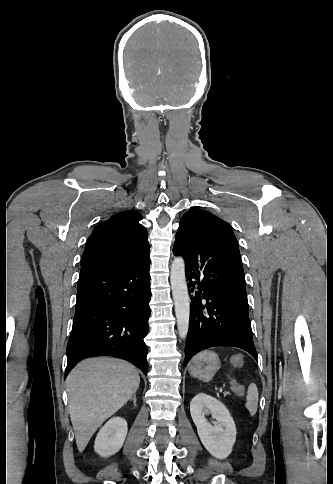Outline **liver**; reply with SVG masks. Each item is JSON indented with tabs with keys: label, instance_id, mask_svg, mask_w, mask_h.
Segmentation results:
<instances>
[{
	"label": "liver",
	"instance_id": "liver-1",
	"mask_svg": "<svg viewBox=\"0 0 333 484\" xmlns=\"http://www.w3.org/2000/svg\"><path fill=\"white\" fill-rule=\"evenodd\" d=\"M69 414L79 452L101 424L136 393L140 376L134 366L115 358H90L67 377Z\"/></svg>",
	"mask_w": 333,
	"mask_h": 484
}]
</instances>
